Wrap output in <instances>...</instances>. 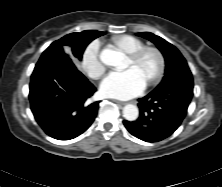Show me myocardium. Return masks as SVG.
Returning <instances> with one entry per match:
<instances>
[{
  "instance_id": "f54148a6",
  "label": "myocardium",
  "mask_w": 222,
  "mask_h": 187,
  "mask_svg": "<svg viewBox=\"0 0 222 187\" xmlns=\"http://www.w3.org/2000/svg\"><path fill=\"white\" fill-rule=\"evenodd\" d=\"M154 53L158 58V69L156 74L146 83L147 87L158 84L164 77L166 70V58L162 50L156 46L144 45L135 52L128 55L133 63H138L145 54Z\"/></svg>"
}]
</instances>
